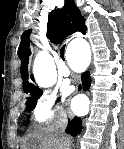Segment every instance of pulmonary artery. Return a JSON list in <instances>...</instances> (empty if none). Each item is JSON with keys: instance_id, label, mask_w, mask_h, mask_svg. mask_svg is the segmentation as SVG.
Instances as JSON below:
<instances>
[{"instance_id": "e3ab8cb5", "label": "pulmonary artery", "mask_w": 124, "mask_h": 149, "mask_svg": "<svg viewBox=\"0 0 124 149\" xmlns=\"http://www.w3.org/2000/svg\"><path fill=\"white\" fill-rule=\"evenodd\" d=\"M69 71H70V67L65 66L61 69V74L62 75H68Z\"/></svg>"}]
</instances>
